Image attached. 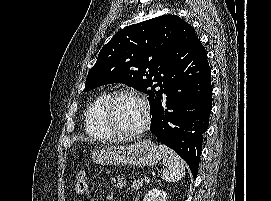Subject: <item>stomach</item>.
I'll list each match as a JSON object with an SVG mask.
<instances>
[{
	"mask_svg": "<svg viewBox=\"0 0 271 201\" xmlns=\"http://www.w3.org/2000/svg\"><path fill=\"white\" fill-rule=\"evenodd\" d=\"M93 162L109 166H153L161 154L151 140H140L127 146H107L91 151Z\"/></svg>",
	"mask_w": 271,
	"mask_h": 201,
	"instance_id": "1",
	"label": "stomach"
}]
</instances>
